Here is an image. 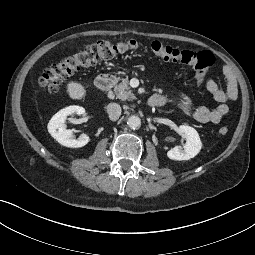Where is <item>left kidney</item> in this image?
<instances>
[{"mask_svg": "<svg viewBox=\"0 0 255 255\" xmlns=\"http://www.w3.org/2000/svg\"><path fill=\"white\" fill-rule=\"evenodd\" d=\"M179 133L186 139L184 149L174 147L167 152L168 158L172 160H189L194 158L202 148L198 132L190 126L181 125L178 128Z\"/></svg>", "mask_w": 255, "mask_h": 255, "instance_id": "5707ae66", "label": "left kidney"}]
</instances>
